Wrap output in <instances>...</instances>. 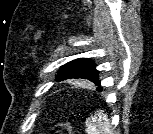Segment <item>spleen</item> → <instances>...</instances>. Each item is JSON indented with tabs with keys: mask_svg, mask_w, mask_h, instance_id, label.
Returning a JSON list of instances; mask_svg holds the SVG:
<instances>
[{
	"mask_svg": "<svg viewBox=\"0 0 153 134\" xmlns=\"http://www.w3.org/2000/svg\"><path fill=\"white\" fill-rule=\"evenodd\" d=\"M87 134H113L107 115L98 110L85 122Z\"/></svg>",
	"mask_w": 153,
	"mask_h": 134,
	"instance_id": "1",
	"label": "spleen"
}]
</instances>
